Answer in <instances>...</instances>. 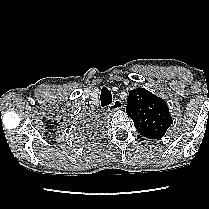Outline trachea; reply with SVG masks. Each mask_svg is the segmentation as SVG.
Returning <instances> with one entry per match:
<instances>
[{
	"instance_id": "1",
	"label": "trachea",
	"mask_w": 209,
	"mask_h": 209,
	"mask_svg": "<svg viewBox=\"0 0 209 209\" xmlns=\"http://www.w3.org/2000/svg\"><path fill=\"white\" fill-rule=\"evenodd\" d=\"M100 100L103 107L112 104V94L108 88L103 87L101 89Z\"/></svg>"
}]
</instances>
